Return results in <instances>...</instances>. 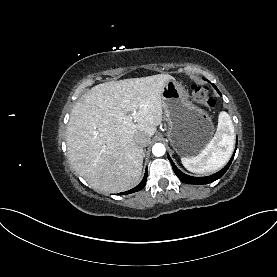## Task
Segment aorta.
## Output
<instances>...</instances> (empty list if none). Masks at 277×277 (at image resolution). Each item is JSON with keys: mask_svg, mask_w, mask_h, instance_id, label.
Instances as JSON below:
<instances>
[{"mask_svg": "<svg viewBox=\"0 0 277 277\" xmlns=\"http://www.w3.org/2000/svg\"><path fill=\"white\" fill-rule=\"evenodd\" d=\"M165 151V146L162 143H156L152 148V153L157 157L163 156Z\"/></svg>", "mask_w": 277, "mask_h": 277, "instance_id": "1", "label": "aorta"}]
</instances>
